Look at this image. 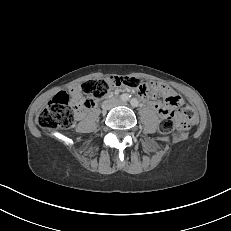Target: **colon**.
<instances>
[{
	"instance_id": "5ec220e1",
	"label": "colon",
	"mask_w": 231,
	"mask_h": 231,
	"mask_svg": "<svg viewBox=\"0 0 231 231\" xmlns=\"http://www.w3.org/2000/svg\"><path fill=\"white\" fill-rule=\"evenodd\" d=\"M123 86L141 95L154 94L155 86L132 76H107L86 81L81 85L82 98H71L66 92L56 94L38 117V124L46 130L69 128L73 125L75 113L80 108H91L97 100L104 98L113 87ZM191 106L184 105L165 114L161 130L170 133L175 130L187 131L190 121L195 118Z\"/></svg>"
}]
</instances>
